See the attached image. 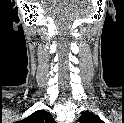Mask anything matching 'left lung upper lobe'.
I'll list each match as a JSON object with an SVG mask.
<instances>
[{"mask_svg":"<svg viewBox=\"0 0 124 123\" xmlns=\"http://www.w3.org/2000/svg\"><path fill=\"white\" fill-rule=\"evenodd\" d=\"M80 123H102L103 121L95 114L88 111L83 112L78 120Z\"/></svg>","mask_w":124,"mask_h":123,"instance_id":"5c2ea615","label":"left lung upper lobe"}]
</instances>
